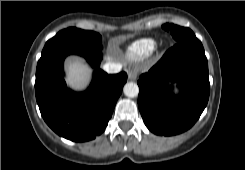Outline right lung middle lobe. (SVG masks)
I'll return each instance as SVG.
<instances>
[{
	"mask_svg": "<svg viewBox=\"0 0 245 170\" xmlns=\"http://www.w3.org/2000/svg\"><path fill=\"white\" fill-rule=\"evenodd\" d=\"M102 37L93 31H85L77 28H67L58 32L47 41L38 63L46 60L62 49L70 48H102Z\"/></svg>",
	"mask_w": 245,
	"mask_h": 170,
	"instance_id": "1",
	"label": "right lung middle lobe"
}]
</instances>
